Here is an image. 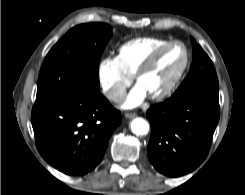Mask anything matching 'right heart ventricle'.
<instances>
[{
  "mask_svg": "<svg viewBox=\"0 0 245 195\" xmlns=\"http://www.w3.org/2000/svg\"><path fill=\"white\" fill-rule=\"evenodd\" d=\"M169 42L166 39L142 37L122 44L116 55L122 69L133 76L140 64L159 46Z\"/></svg>",
  "mask_w": 245,
  "mask_h": 195,
  "instance_id": "right-heart-ventricle-1",
  "label": "right heart ventricle"
}]
</instances>
